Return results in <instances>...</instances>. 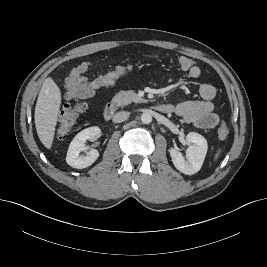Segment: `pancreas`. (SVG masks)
Wrapping results in <instances>:
<instances>
[{"label":"pancreas","mask_w":267,"mask_h":267,"mask_svg":"<svg viewBox=\"0 0 267 267\" xmlns=\"http://www.w3.org/2000/svg\"><path fill=\"white\" fill-rule=\"evenodd\" d=\"M112 101L120 107L132 102H142L143 100L133 91H120L113 97Z\"/></svg>","instance_id":"cf45deb5"}]
</instances>
